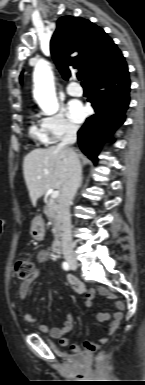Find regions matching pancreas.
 Here are the masks:
<instances>
[{
	"label": "pancreas",
	"mask_w": 145,
	"mask_h": 385,
	"mask_svg": "<svg viewBox=\"0 0 145 385\" xmlns=\"http://www.w3.org/2000/svg\"><path fill=\"white\" fill-rule=\"evenodd\" d=\"M44 213L47 218L53 223V231L55 234H59L61 218L58 210L57 200L49 198L44 207Z\"/></svg>",
	"instance_id": "cf45deb5"
}]
</instances>
